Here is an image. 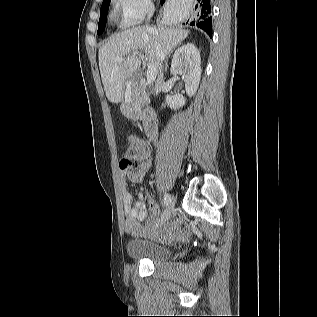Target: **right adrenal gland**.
Listing matches in <instances>:
<instances>
[{"instance_id":"right-adrenal-gland-1","label":"right adrenal gland","mask_w":317,"mask_h":317,"mask_svg":"<svg viewBox=\"0 0 317 317\" xmlns=\"http://www.w3.org/2000/svg\"><path fill=\"white\" fill-rule=\"evenodd\" d=\"M168 56H170V53L168 54ZM167 67H168V64L166 62L165 71H167Z\"/></svg>"}]
</instances>
